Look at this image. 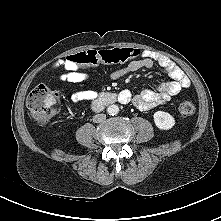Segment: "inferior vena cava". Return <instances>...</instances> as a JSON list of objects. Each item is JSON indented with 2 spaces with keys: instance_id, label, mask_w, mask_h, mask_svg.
I'll list each match as a JSON object with an SVG mask.
<instances>
[{
  "instance_id": "1",
  "label": "inferior vena cava",
  "mask_w": 221,
  "mask_h": 221,
  "mask_svg": "<svg viewBox=\"0 0 221 221\" xmlns=\"http://www.w3.org/2000/svg\"><path fill=\"white\" fill-rule=\"evenodd\" d=\"M106 120V115L105 114H96L93 116V122L95 123H101Z\"/></svg>"
}]
</instances>
